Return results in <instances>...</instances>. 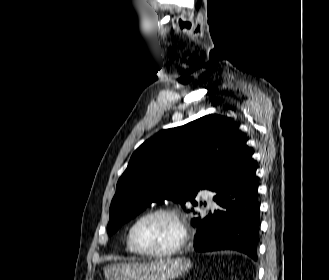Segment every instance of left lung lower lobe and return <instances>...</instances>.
Segmentation results:
<instances>
[{
  "instance_id": "0a47b994",
  "label": "left lung lower lobe",
  "mask_w": 329,
  "mask_h": 280,
  "mask_svg": "<svg viewBox=\"0 0 329 280\" xmlns=\"http://www.w3.org/2000/svg\"><path fill=\"white\" fill-rule=\"evenodd\" d=\"M240 170L232 181L214 197L217 209L197 224L196 251L237 250L257 259L259 203L256 165L251 149L244 145Z\"/></svg>"
}]
</instances>
